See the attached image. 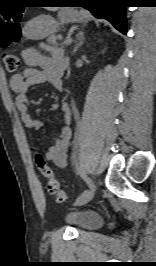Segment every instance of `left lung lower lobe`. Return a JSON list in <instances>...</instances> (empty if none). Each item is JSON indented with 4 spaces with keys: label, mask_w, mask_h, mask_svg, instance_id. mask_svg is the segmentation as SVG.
<instances>
[{
    "label": "left lung lower lobe",
    "mask_w": 156,
    "mask_h": 266,
    "mask_svg": "<svg viewBox=\"0 0 156 266\" xmlns=\"http://www.w3.org/2000/svg\"><path fill=\"white\" fill-rule=\"evenodd\" d=\"M73 3L87 8L98 18L107 19L117 30L126 34L125 4L128 0H73Z\"/></svg>",
    "instance_id": "obj_1"
}]
</instances>
